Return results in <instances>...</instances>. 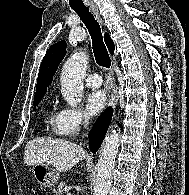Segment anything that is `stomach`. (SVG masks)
<instances>
[{
  "label": "stomach",
  "mask_w": 189,
  "mask_h": 195,
  "mask_svg": "<svg viewBox=\"0 0 189 195\" xmlns=\"http://www.w3.org/2000/svg\"><path fill=\"white\" fill-rule=\"evenodd\" d=\"M32 172L34 178L44 188H52L58 183L59 172L48 163L34 165Z\"/></svg>",
  "instance_id": "obj_1"
}]
</instances>
